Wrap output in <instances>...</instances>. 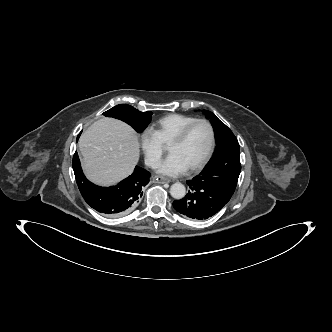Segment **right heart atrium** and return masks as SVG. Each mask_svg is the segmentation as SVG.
<instances>
[{
    "mask_svg": "<svg viewBox=\"0 0 332 332\" xmlns=\"http://www.w3.org/2000/svg\"><path fill=\"white\" fill-rule=\"evenodd\" d=\"M140 148L149 167H156L163 153V145L151 129H145L140 134Z\"/></svg>",
    "mask_w": 332,
    "mask_h": 332,
    "instance_id": "d8ad5b80",
    "label": "right heart atrium"
}]
</instances>
